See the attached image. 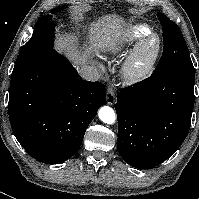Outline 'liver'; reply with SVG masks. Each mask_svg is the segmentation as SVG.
<instances>
[{"label":"liver","mask_w":199,"mask_h":199,"mask_svg":"<svg viewBox=\"0 0 199 199\" xmlns=\"http://www.w3.org/2000/svg\"><path fill=\"white\" fill-rule=\"evenodd\" d=\"M124 24V21L116 15H105L92 22L88 28L90 48H112L119 42L123 34L122 26ZM90 48L80 51L75 44V40L71 37L63 41L60 40L56 46V50L65 54L76 66L86 64Z\"/></svg>","instance_id":"6515ba94"}]
</instances>
